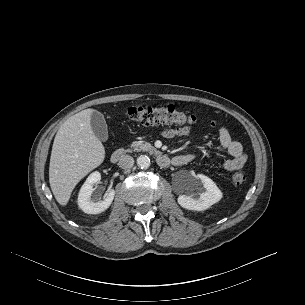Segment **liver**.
Here are the masks:
<instances>
[{
	"label": "liver",
	"instance_id": "obj_1",
	"mask_svg": "<svg viewBox=\"0 0 305 305\" xmlns=\"http://www.w3.org/2000/svg\"><path fill=\"white\" fill-rule=\"evenodd\" d=\"M94 109L68 118L59 128L52 146L49 183L57 202L65 206L78 182L98 167L105 149L91 127Z\"/></svg>",
	"mask_w": 305,
	"mask_h": 305
}]
</instances>
